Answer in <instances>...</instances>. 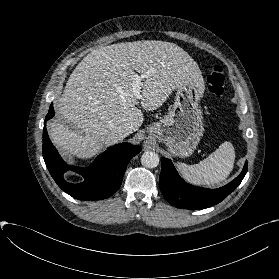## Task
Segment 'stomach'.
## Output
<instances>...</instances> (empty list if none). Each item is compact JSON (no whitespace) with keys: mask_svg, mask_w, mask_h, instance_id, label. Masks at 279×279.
Segmentation results:
<instances>
[{"mask_svg":"<svg viewBox=\"0 0 279 279\" xmlns=\"http://www.w3.org/2000/svg\"><path fill=\"white\" fill-rule=\"evenodd\" d=\"M199 101L200 91L194 83L178 85L172 108L163 119L149 126V135L164 143L174 156L192 155L204 132Z\"/></svg>","mask_w":279,"mask_h":279,"instance_id":"1","label":"stomach"}]
</instances>
